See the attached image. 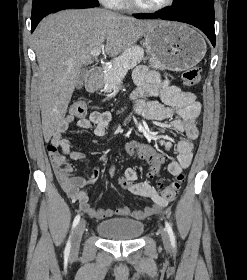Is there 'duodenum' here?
Listing matches in <instances>:
<instances>
[{
	"mask_svg": "<svg viewBox=\"0 0 247 280\" xmlns=\"http://www.w3.org/2000/svg\"><path fill=\"white\" fill-rule=\"evenodd\" d=\"M102 70L100 68H93L86 80V88L89 91H96L99 89L102 79Z\"/></svg>",
	"mask_w": 247,
	"mask_h": 280,
	"instance_id": "obj_1",
	"label": "duodenum"
}]
</instances>
